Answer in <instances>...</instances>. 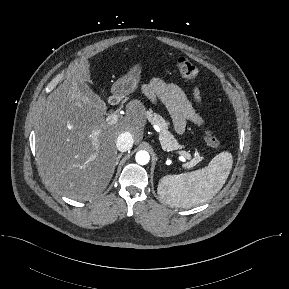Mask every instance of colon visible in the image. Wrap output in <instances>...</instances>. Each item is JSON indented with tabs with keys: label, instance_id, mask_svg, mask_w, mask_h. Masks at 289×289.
I'll return each instance as SVG.
<instances>
[{
	"label": "colon",
	"instance_id": "colon-1",
	"mask_svg": "<svg viewBox=\"0 0 289 289\" xmlns=\"http://www.w3.org/2000/svg\"><path fill=\"white\" fill-rule=\"evenodd\" d=\"M177 69L180 76L188 81H194L198 75L196 66L185 57H180L177 60ZM204 140L213 149L221 147V141L213 135L211 130L204 132Z\"/></svg>",
	"mask_w": 289,
	"mask_h": 289
}]
</instances>
